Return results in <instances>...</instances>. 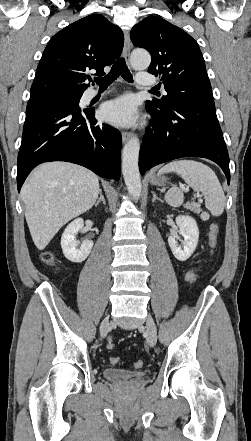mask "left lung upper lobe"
I'll list each match as a JSON object with an SVG mask.
<instances>
[{"instance_id": "obj_1", "label": "left lung upper lobe", "mask_w": 251, "mask_h": 441, "mask_svg": "<svg viewBox=\"0 0 251 441\" xmlns=\"http://www.w3.org/2000/svg\"><path fill=\"white\" fill-rule=\"evenodd\" d=\"M130 36L136 47L150 52L148 72L161 76L167 92L161 99L146 101V105L167 110L195 99L213 100L204 58L189 34L160 17L149 16L132 28Z\"/></svg>"}]
</instances>
